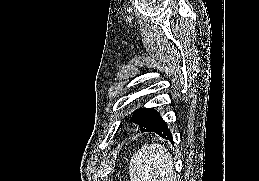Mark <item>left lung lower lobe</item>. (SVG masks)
I'll use <instances>...</instances> for the list:
<instances>
[{
	"label": "left lung lower lobe",
	"mask_w": 259,
	"mask_h": 181,
	"mask_svg": "<svg viewBox=\"0 0 259 181\" xmlns=\"http://www.w3.org/2000/svg\"><path fill=\"white\" fill-rule=\"evenodd\" d=\"M143 132H155L162 138L173 141L172 134L160 114Z\"/></svg>",
	"instance_id": "1"
}]
</instances>
